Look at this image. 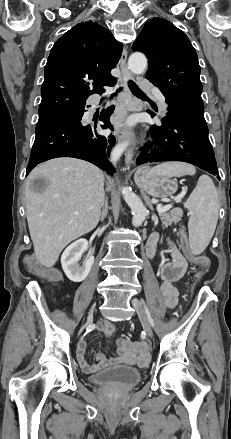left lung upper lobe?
Segmentation results:
<instances>
[{
    "label": "left lung upper lobe",
    "mask_w": 231,
    "mask_h": 439,
    "mask_svg": "<svg viewBox=\"0 0 231 439\" xmlns=\"http://www.w3.org/2000/svg\"><path fill=\"white\" fill-rule=\"evenodd\" d=\"M132 49L147 56L146 78L160 89L168 105L206 123L200 66L187 36L171 22L153 18L144 25Z\"/></svg>",
    "instance_id": "left-lung-upper-lobe-1"
}]
</instances>
